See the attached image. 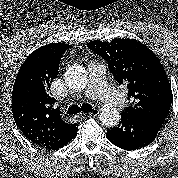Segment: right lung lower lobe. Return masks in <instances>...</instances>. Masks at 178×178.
<instances>
[{
    "label": "right lung lower lobe",
    "mask_w": 178,
    "mask_h": 178,
    "mask_svg": "<svg viewBox=\"0 0 178 178\" xmlns=\"http://www.w3.org/2000/svg\"><path fill=\"white\" fill-rule=\"evenodd\" d=\"M76 135H77V130L75 132H73L71 135H69L68 137H66L65 139H63L61 142H59L56 146L52 147L50 150H57V149L63 147L68 142H70L73 138H75Z\"/></svg>",
    "instance_id": "right-lung-lower-lobe-1"
}]
</instances>
